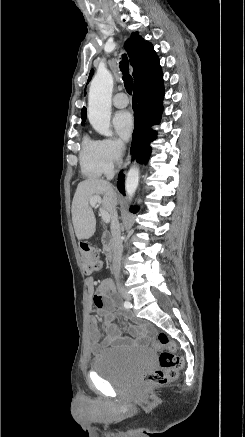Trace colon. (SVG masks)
I'll return each instance as SVG.
<instances>
[{
    "label": "colon",
    "mask_w": 245,
    "mask_h": 437,
    "mask_svg": "<svg viewBox=\"0 0 245 437\" xmlns=\"http://www.w3.org/2000/svg\"><path fill=\"white\" fill-rule=\"evenodd\" d=\"M80 255L82 269L86 275L99 272L102 269L103 261L94 247L82 244L80 246ZM157 342L161 349L159 367L141 377V383L145 386H160L174 381L183 365L182 357L176 353V346L167 334L159 333Z\"/></svg>",
    "instance_id": "colon-1"
}]
</instances>
